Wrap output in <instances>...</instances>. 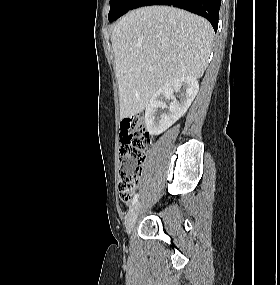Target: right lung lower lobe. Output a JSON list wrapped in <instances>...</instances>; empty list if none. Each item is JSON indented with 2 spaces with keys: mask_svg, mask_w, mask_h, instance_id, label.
I'll list each match as a JSON object with an SVG mask.
<instances>
[{
  "mask_svg": "<svg viewBox=\"0 0 280 285\" xmlns=\"http://www.w3.org/2000/svg\"><path fill=\"white\" fill-rule=\"evenodd\" d=\"M221 0H137L132 9L150 5H169L205 17L217 31Z\"/></svg>",
  "mask_w": 280,
  "mask_h": 285,
  "instance_id": "right-lung-lower-lobe-1",
  "label": "right lung lower lobe"
}]
</instances>
